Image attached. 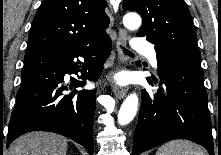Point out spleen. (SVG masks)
<instances>
[{
    "mask_svg": "<svg viewBox=\"0 0 221 155\" xmlns=\"http://www.w3.org/2000/svg\"><path fill=\"white\" fill-rule=\"evenodd\" d=\"M155 155H205V152L188 140H173L159 147Z\"/></svg>",
    "mask_w": 221,
    "mask_h": 155,
    "instance_id": "spleen-1",
    "label": "spleen"
}]
</instances>
